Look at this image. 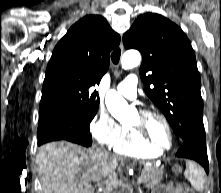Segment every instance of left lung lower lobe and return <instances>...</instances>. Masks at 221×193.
Returning <instances> with one entry per match:
<instances>
[{"instance_id":"1","label":"left lung lower lobe","mask_w":221,"mask_h":193,"mask_svg":"<svg viewBox=\"0 0 221 193\" xmlns=\"http://www.w3.org/2000/svg\"><path fill=\"white\" fill-rule=\"evenodd\" d=\"M176 156L188 158L201 164L208 173V156L205 132H198L183 140Z\"/></svg>"}]
</instances>
